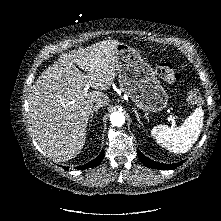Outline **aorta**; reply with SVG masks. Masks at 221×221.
Returning <instances> with one entry per match:
<instances>
[{"label": "aorta", "mask_w": 221, "mask_h": 221, "mask_svg": "<svg viewBox=\"0 0 221 221\" xmlns=\"http://www.w3.org/2000/svg\"><path fill=\"white\" fill-rule=\"evenodd\" d=\"M110 121L114 126L120 127L125 123V116L122 112H113L110 116Z\"/></svg>", "instance_id": "1"}]
</instances>
